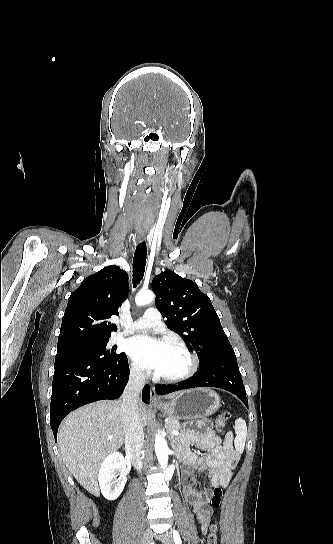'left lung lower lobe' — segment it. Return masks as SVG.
<instances>
[{"label":"left lung lower lobe","instance_id":"left-lung-lower-lobe-1","mask_svg":"<svg viewBox=\"0 0 333 544\" xmlns=\"http://www.w3.org/2000/svg\"><path fill=\"white\" fill-rule=\"evenodd\" d=\"M194 387H217L227 390L235 394L248 408L246 391L236 359L211 360L200 366L197 374L189 381L176 386L158 385L155 389L159 395H165Z\"/></svg>","mask_w":333,"mask_h":544}]
</instances>
